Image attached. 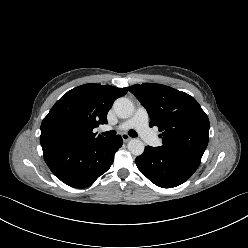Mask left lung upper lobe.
I'll return each mask as SVG.
<instances>
[{
	"label": "left lung upper lobe",
	"instance_id": "left-lung-upper-lobe-1",
	"mask_svg": "<svg viewBox=\"0 0 248 248\" xmlns=\"http://www.w3.org/2000/svg\"><path fill=\"white\" fill-rule=\"evenodd\" d=\"M146 108L150 126H158L159 149L201 160L209 140V119L198 102L166 85L143 83L128 87Z\"/></svg>",
	"mask_w": 248,
	"mask_h": 248
}]
</instances>
